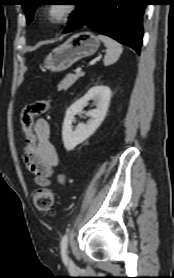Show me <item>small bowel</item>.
Here are the masks:
<instances>
[{"label":"small bowel","mask_w":174,"mask_h":278,"mask_svg":"<svg viewBox=\"0 0 174 278\" xmlns=\"http://www.w3.org/2000/svg\"><path fill=\"white\" fill-rule=\"evenodd\" d=\"M34 132L37 137V147L31 154L24 155L28 170L35 176L38 185L49 186L50 178L55 173L59 163L57 151L50 141V125L44 118H39L34 123ZM58 181L64 183L63 175L58 176Z\"/></svg>","instance_id":"c3829d8e"}]
</instances>
